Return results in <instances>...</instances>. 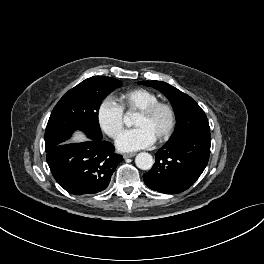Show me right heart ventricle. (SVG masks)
Instances as JSON below:
<instances>
[{
	"instance_id": "1",
	"label": "right heart ventricle",
	"mask_w": 264,
	"mask_h": 264,
	"mask_svg": "<svg viewBox=\"0 0 264 264\" xmlns=\"http://www.w3.org/2000/svg\"><path fill=\"white\" fill-rule=\"evenodd\" d=\"M118 101L123 110L139 111L150 104L159 101L157 94L145 88H133L118 95Z\"/></svg>"
}]
</instances>
